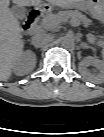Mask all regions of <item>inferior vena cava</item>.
Listing matches in <instances>:
<instances>
[{
	"instance_id": "602c4592",
	"label": "inferior vena cava",
	"mask_w": 104,
	"mask_h": 137,
	"mask_svg": "<svg viewBox=\"0 0 104 137\" xmlns=\"http://www.w3.org/2000/svg\"><path fill=\"white\" fill-rule=\"evenodd\" d=\"M48 39L49 38L46 34L37 33L32 37V45H34L36 48L43 47Z\"/></svg>"
}]
</instances>
